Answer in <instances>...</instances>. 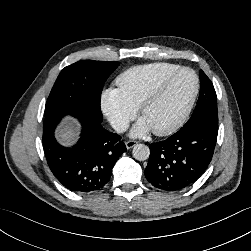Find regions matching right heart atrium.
<instances>
[{
	"label": "right heart atrium",
	"instance_id": "d8ad5b80",
	"mask_svg": "<svg viewBox=\"0 0 251 251\" xmlns=\"http://www.w3.org/2000/svg\"><path fill=\"white\" fill-rule=\"evenodd\" d=\"M100 107L111 126L117 132H123L136 116V109L127 103L118 89L109 88L102 92Z\"/></svg>",
	"mask_w": 251,
	"mask_h": 251
}]
</instances>
